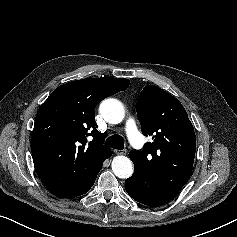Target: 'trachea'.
<instances>
[{
    "label": "trachea",
    "instance_id": "trachea-1",
    "mask_svg": "<svg viewBox=\"0 0 237 237\" xmlns=\"http://www.w3.org/2000/svg\"><path fill=\"white\" fill-rule=\"evenodd\" d=\"M105 144L113 149L123 150L124 139L122 136L115 134L108 137Z\"/></svg>",
    "mask_w": 237,
    "mask_h": 237
}]
</instances>
